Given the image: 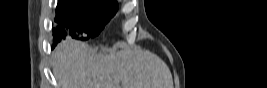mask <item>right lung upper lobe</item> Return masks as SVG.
<instances>
[{"label":"right lung upper lobe","instance_id":"cb5924a9","mask_svg":"<svg viewBox=\"0 0 267 88\" xmlns=\"http://www.w3.org/2000/svg\"><path fill=\"white\" fill-rule=\"evenodd\" d=\"M108 1L117 2L116 0H108Z\"/></svg>","mask_w":267,"mask_h":88}]
</instances>
